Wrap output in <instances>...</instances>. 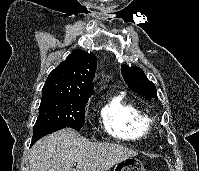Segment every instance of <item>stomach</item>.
Returning a JSON list of instances; mask_svg holds the SVG:
<instances>
[{"label":"stomach","instance_id":"1","mask_svg":"<svg viewBox=\"0 0 199 171\" xmlns=\"http://www.w3.org/2000/svg\"><path fill=\"white\" fill-rule=\"evenodd\" d=\"M113 171H146V170L140 160L131 157L115 164Z\"/></svg>","mask_w":199,"mask_h":171}]
</instances>
